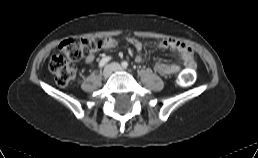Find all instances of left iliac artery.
Masks as SVG:
<instances>
[{"mask_svg": "<svg viewBox=\"0 0 258 158\" xmlns=\"http://www.w3.org/2000/svg\"><path fill=\"white\" fill-rule=\"evenodd\" d=\"M122 66H123L124 68H127V67H128V63H127L126 61H123V62H122Z\"/></svg>", "mask_w": 258, "mask_h": 158, "instance_id": "left-iliac-artery-1", "label": "left iliac artery"}]
</instances>
